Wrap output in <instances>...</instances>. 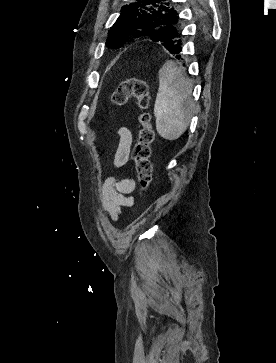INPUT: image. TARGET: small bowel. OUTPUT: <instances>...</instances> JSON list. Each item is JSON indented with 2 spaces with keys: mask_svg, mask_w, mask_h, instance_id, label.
<instances>
[{
  "mask_svg": "<svg viewBox=\"0 0 276 363\" xmlns=\"http://www.w3.org/2000/svg\"><path fill=\"white\" fill-rule=\"evenodd\" d=\"M119 141L114 156V166L119 169L129 161L132 145V133L129 129L122 127L118 130ZM136 183L132 177L115 178L109 177L105 180L100 190L99 199L103 210L113 219L117 220L123 207L134 204L132 196Z\"/></svg>",
  "mask_w": 276,
  "mask_h": 363,
  "instance_id": "small-bowel-1",
  "label": "small bowel"
}]
</instances>
